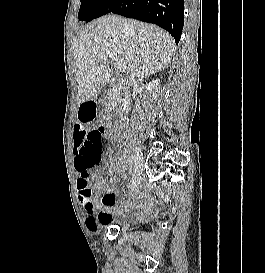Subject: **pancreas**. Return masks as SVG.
I'll use <instances>...</instances> for the list:
<instances>
[{"label":"pancreas","instance_id":"1","mask_svg":"<svg viewBox=\"0 0 265 273\" xmlns=\"http://www.w3.org/2000/svg\"><path fill=\"white\" fill-rule=\"evenodd\" d=\"M113 106H114V100L111 99V100H109V102H108V108L111 110V109L113 108Z\"/></svg>","mask_w":265,"mask_h":273}]
</instances>
